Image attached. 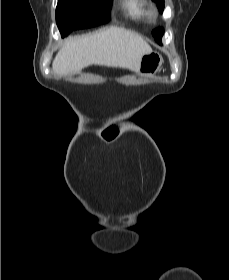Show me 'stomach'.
I'll list each match as a JSON object with an SVG mask.
<instances>
[{
	"mask_svg": "<svg viewBox=\"0 0 229 280\" xmlns=\"http://www.w3.org/2000/svg\"><path fill=\"white\" fill-rule=\"evenodd\" d=\"M162 64V56L158 52L152 51L142 56L138 73L144 76L155 75L160 71Z\"/></svg>",
	"mask_w": 229,
	"mask_h": 280,
	"instance_id": "1",
	"label": "stomach"
}]
</instances>
